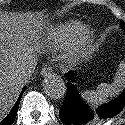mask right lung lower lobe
Segmentation results:
<instances>
[{
    "label": "right lung lower lobe",
    "instance_id": "right-lung-lower-lobe-1",
    "mask_svg": "<svg viewBox=\"0 0 125 125\" xmlns=\"http://www.w3.org/2000/svg\"><path fill=\"white\" fill-rule=\"evenodd\" d=\"M22 94H23V92H21L18 100L16 101L14 107L12 108V110L10 111V113L8 114V116H6V118L2 122H0V125H12V123H13L16 115H17V110H18V106H19Z\"/></svg>",
    "mask_w": 125,
    "mask_h": 125
}]
</instances>
